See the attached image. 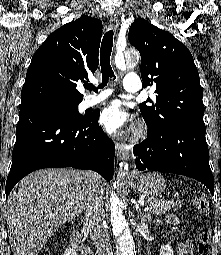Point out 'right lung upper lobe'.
<instances>
[{
  "label": "right lung upper lobe",
  "instance_id": "cb5924a9",
  "mask_svg": "<svg viewBox=\"0 0 221 255\" xmlns=\"http://www.w3.org/2000/svg\"><path fill=\"white\" fill-rule=\"evenodd\" d=\"M100 20L83 15L51 33L32 57L21 91L20 110L45 103H76V89L98 67Z\"/></svg>",
  "mask_w": 221,
  "mask_h": 255
}]
</instances>
